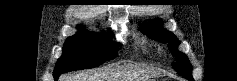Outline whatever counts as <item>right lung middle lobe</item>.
Returning a JSON list of instances; mask_svg holds the SVG:
<instances>
[{
	"mask_svg": "<svg viewBox=\"0 0 237 81\" xmlns=\"http://www.w3.org/2000/svg\"><path fill=\"white\" fill-rule=\"evenodd\" d=\"M118 47L119 45L106 36L86 31L78 32L67 38L53 75L99 66L114 59Z\"/></svg>",
	"mask_w": 237,
	"mask_h": 81,
	"instance_id": "obj_1",
	"label": "right lung middle lobe"
}]
</instances>
